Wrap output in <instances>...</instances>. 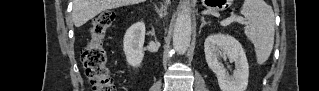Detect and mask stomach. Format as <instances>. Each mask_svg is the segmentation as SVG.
Instances as JSON below:
<instances>
[{
	"label": "stomach",
	"mask_w": 319,
	"mask_h": 91,
	"mask_svg": "<svg viewBox=\"0 0 319 91\" xmlns=\"http://www.w3.org/2000/svg\"><path fill=\"white\" fill-rule=\"evenodd\" d=\"M205 4L208 8L216 9V10H224L228 5V0H214V1H205Z\"/></svg>",
	"instance_id": "obj_1"
}]
</instances>
